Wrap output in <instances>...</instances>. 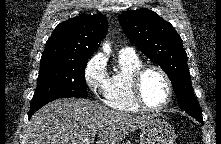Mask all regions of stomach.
Segmentation results:
<instances>
[{
	"label": "stomach",
	"instance_id": "0dacf381",
	"mask_svg": "<svg viewBox=\"0 0 221 144\" xmlns=\"http://www.w3.org/2000/svg\"><path fill=\"white\" fill-rule=\"evenodd\" d=\"M175 131L170 123L155 117L141 128L140 144H174Z\"/></svg>",
	"mask_w": 221,
	"mask_h": 144
}]
</instances>
